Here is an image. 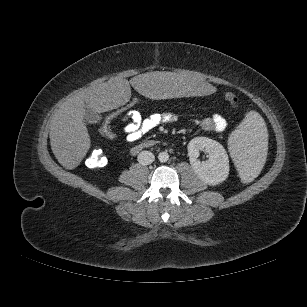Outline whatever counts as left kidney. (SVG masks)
<instances>
[{
	"mask_svg": "<svg viewBox=\"0 0 307 307\" xmlns=\"http://www.w3.org/2000/svg\"><path fill=\"white\" fill-rule=\"evenodd\" d=\"M190 164L198 177L209 185H216L226 180L229 174V159L224 147L207 137H195L188 144ZM208 153V160L198 159L199 151Z\"/></svg>",
	"mask_w": 307,
	"mask_h": 307,
	"instance_id": "5707ae66",
	"label": "left kidney"
}]
</instances>
